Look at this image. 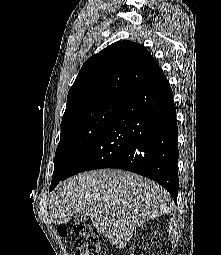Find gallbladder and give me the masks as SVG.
<instances>
[{
    "mask_svg": "<svg viewBox=\"0 0 221 255\" xmlns=\"http://www.w3.org/2000/svg\"><path fill=\"white\" fill-rule=\"evenodd\" d=\"M89 219V216L83 213H78L74 217L75 224L84 223Z\"/></svg>",
    "mask_w": 221,
    "mask_h": 255,
    "instance_id": "bac80fb5",
    "label": "gallbladder"
}]
</instances>
